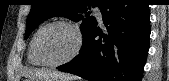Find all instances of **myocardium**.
<instances>
[{"instance_id":"f54148a6","label":"myocardium","mask_w":169,"mask_h":81,"mask_svg":"<svg viewBox=\"0 0 169 81\" xmlns=\"http://www.w3.org/2000/svg\"><path fill=\"white\" fill-rule=\"evenodd\" d=\"M54 26H66V27L72 29L75 34V37H76V43H75L74 49L66 58H64L60 61H57V62H49V61H46L41 54L40 39H41L42 35L48 29H50ZM82 44H83V35L81 32V29L79 28V26L77 24H75L71 21H67V20H57V21H53V22L46 24L45 26H43L39 30V32L37 33L36 38H35L34 50H35L36 57L38 58V60L41 62L42 65H44L46 67L55 68V67L61 66L65 63H68L71 60H73L80 52V50L82 48Z\"/></svg>"}]
</instances>
